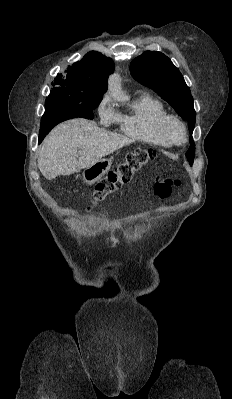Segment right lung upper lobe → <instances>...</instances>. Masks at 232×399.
I'll list each match as a JSON object with an SVG mask.
<instances>
[{
  "mask_svg": "<svg viewBox=\"0 0 232 399\" xmlns=\"http://www.w3.org/2000/svg\"><path fill=\"white\" fill-rule=\"evenodd\" d=\"M114 71V62L97 51L87 53L83 59L58 74L53 85L65 92L102 93L107 90V79Z\"/></svg>",
  "mask_w": 232,
  "mask_h": 399,
  "instance_id": "obj_1",
  "label": "right lung upper lobe"
}]
</instances>
